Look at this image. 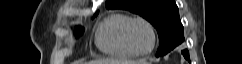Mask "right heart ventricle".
Wrapping results in <instances>:
<instances>
[{
  "mask_svg": "<svg viewBox=\"0 0 242 64\" xmlns=\"http://www.w3.org/2000/svg\"><path fill=\"white\" fill-rule=\"evenodd\" d=\"M131 18L124 13H116L109 16L99 26L96 33V45L103 53L117 58L135 56L124 40V29Z\"/></svg>",
  "mask_w": 242,
  "mask_h": 64,
  "instance_id": "obj_1",
  "label": "right heart ventricle"
}]
</instances>
